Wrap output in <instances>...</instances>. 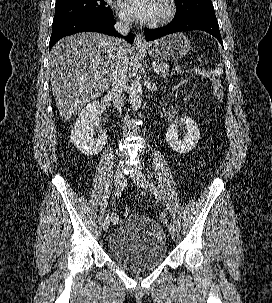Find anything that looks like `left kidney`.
Returning <instances> with one entry per match:
<instances>
[{"mask_svg":"<svg viewBox=\"0 0 272 303\" xmlns=\"http://www.w3.org/2000/svg\"><path fill=\"white\" fill-rule=\"evenodd\" d=\"M183 125L187 129V134L184 139L180 140L177 124H171L166 133V141L170 147L178 153H187L193 150L200 138V131L195 121L185 116L182 120Z\"/></svg>","mask_w":272,"mask_h":303,"instance_id":"obj_1","label":"left kidney"}]
</instances>
